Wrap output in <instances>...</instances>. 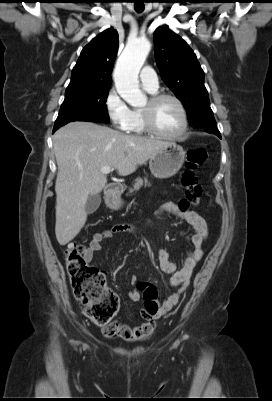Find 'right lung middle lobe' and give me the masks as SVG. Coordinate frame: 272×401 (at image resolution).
Segmentation results:
<instances>
[{
  "label": "right lung middle lobe",
  "mask_w": 272,
  "mask_h": 401,
  "mask_svg": "<svg viewBox=\"0 0 272 401\" xmlns=\"http://www.w3.org/2000/svg\"><path fill=\"white\" fill-rule=\"evenodd\" d=\"M110 85L65 93L54 128L72 121L109 122L106 99Z\"/></svg>",
  "instance_id": "right-lung-middle-lobe-1"
}]
</instances>
